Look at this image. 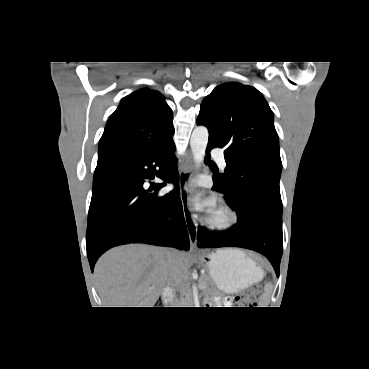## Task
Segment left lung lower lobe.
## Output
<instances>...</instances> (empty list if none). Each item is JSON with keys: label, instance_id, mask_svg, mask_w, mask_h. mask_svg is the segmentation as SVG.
<instances>
[{"label": "left lung lower lobe", "instance_id": "obj_1", "mask_svg": "<svg viewBox=\"0 0 369 369\" xmlns=\"http://www.w3.org/2000/svg\"><path fill=\"white\" fill-rule=\"evenodd\" d=\"M218 147L208 142L206 159L210 150ZM213 190L225 195L226 203L236 211L238 221L227 231H209L198 228L200 248L242 247L266 256L273 265L277 276L283 251L282 201L274 194L256 187L238 189L227 187L216 176Z\"/></svg>", "mask_w": 369, "mask_h": 369}]
</instances>
